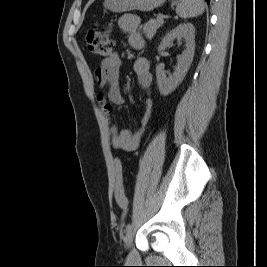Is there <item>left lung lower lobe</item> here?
Here are the masks:
<instances>
[{
  "mask_svg": "<svg viewBox=\"0 0 267 267\" xmlns=\"http://www.w3.org/2000/svg\"><path fill=\"white\" fill-rule=\"evenodd\" d=\"M208 4L210 3V0H205Z\"/></svg>",
  "mask_w": 267,
  "mask_h": 267,
  "instance_id": "0a47b994",
  "label": "left lung lower lobe"
}]
</instances>
